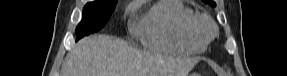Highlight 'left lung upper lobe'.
I'll return each mask as SVG.
<instances>
[{"label":"left lung upper lobe","mask_w":287,"mask_h":76,"mask_svg":"<svg viewBox=\"0 0 287 76\" xmlns=\"http://www.w3.org/2000/svg\"><path fill=\"white\" fill-rule=\"evenodd\" d=\"M205 3L210 4L211 6H216V3L211 0H203Z\"/></svg>","instance_id":"5c2ea615"}]
</instances>
